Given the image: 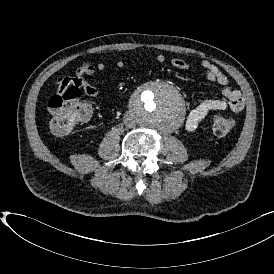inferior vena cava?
<instances>
[{
    "mask_svg": "<svg viewBox=\"0 0 274 274\" xmlns=\"http://www.w3.org/2000/svg\"><path fill=\"white\" fill-rule=\"evenodd\" d=\"M123 121H124V122H128V121L126 120V117L123 119ZM128 125H130V124L128 123Z\"/></svg>",
    "mask_w": 274,
    "mask_h": 274,
    "instance_id": "obj_1",
    "label": "inferior vena cava"
}]
</instances>
